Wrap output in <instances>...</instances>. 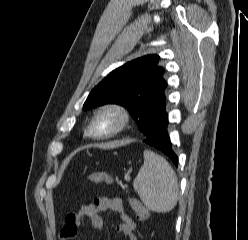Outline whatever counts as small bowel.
<instances>
[{
	"label": "small bowel",
	"mask_w": 248,
	"mask_h": 240,
	"mask_svg": "<svg viewBox=\"0 0 248 240\" xmlns=\"http://www.w3.org/2000/svg\"><path fill=\"white\" fill-rule=\"evenodd\" d=\"M114 212L120 219L116 227L117 232L125 235L129 240H137L134 229L135 223L125 211L123 202L119 198H96L93 204L82 205L76 212L69 213L59 234L60 240H70L77 236L84 220L88 219L95 230L103 228L101 213Z\"/></svg>",
	"instance_id": "c3829d8e"
}]
</instances>
